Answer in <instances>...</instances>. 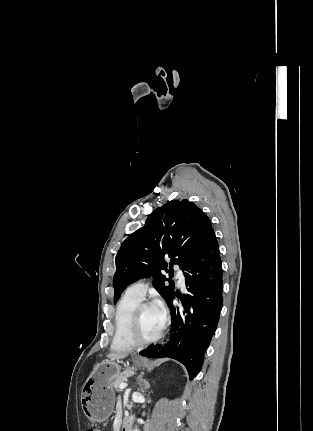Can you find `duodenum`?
<instances>
[{
  "label": "duodenum",
  "instance_id": "1",
  "mask_svg": "<svg viewBox=\"0 0 313 431\" xmlns=\"http://www.w3.org/2000/svg\"><path fill=\"white\" fill-rule=\"evenodd\" d=\"M133 420L131 417L124 419L121 431H132Z\"/></svg>",
  "mask_w": 313,
  "mask_h": 431
}]
</instances>
